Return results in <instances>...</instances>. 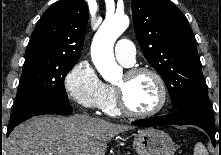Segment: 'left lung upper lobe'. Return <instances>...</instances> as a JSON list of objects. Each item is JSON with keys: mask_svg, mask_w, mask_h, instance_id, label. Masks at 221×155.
Instances as JSON below:
<instances>
[{"mask_svg": "<svg viewBox=\"0 0 221 155\" xmlns=\"http://www.w3.org/2000/svg\"><path fill=\"white\" fill-rule=\"evenodd\" d=\"M132 14L142 52L166 83L173 108L207 95L194 34L175 4L170 0H132Z\"/></svg>", "mask_w": 221, "mask_h": 155, "instance_id": "5c2ea615", "label": "left lung upper lobe"}]
</instances>
